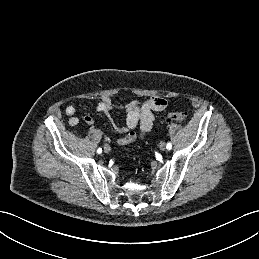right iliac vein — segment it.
Instances as JSON below:
<instances>
[{
    "instance_id": "obj_1",
    "label": "right iliac vein",
    "mask_w": 259,
    "mask_h": 259,
    "mask_svg": "<svg viewBox=\"0 0 259 259\" xmlns=\"http://www.w3.org/2000/svg\"><path fill=\"white\" fill-rule=\"evenodd\" d=\"M103 149L105 153H109L111 151V147L109 145H105Z\"/></svg>"
}]
</instances>
